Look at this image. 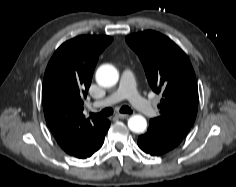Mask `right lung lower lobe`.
<instances>
[{"instance_id":"1","label":"right lung lower lobe","mask_w":236,"mask_h":187,"mask_svg":"<svg viewBox=\"0 0 236 187\" xmlns=\"http://www.w3.org/2000/svg\"><path fill=\"white\" fill-rule=\"evenodd\" d=\"M109 126H110V121L107 120L106 132H107ZM103 142H104V139H103ZM102 144H103V143H102ZM102 144H101V146H102ZM101 146H100V147H101ZM100 147H99V148H100ZM99 148H98V149H99ZM98 149H97V150H98ZM97 150H96V151H97Z\"/></svg>"}]
</instances>
